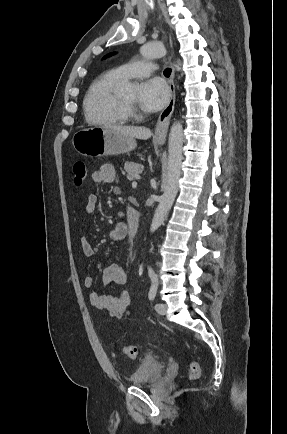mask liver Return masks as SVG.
I'll list each match as a JSON object with an SVG mask.
<instances>
[{"mask_svg":"<svg viewBox=\"0 0 287 434\" xmlns=\"http://www.w3.org/2000/svg\"><path fill=\"white\" fill-rule=\"evenodd\" d=\"M107 127L118 133L136 139L147 140L152 136V132L150 131V129L146 127L122 126V125H109Z\"/></svg>","mask_w":287,"mask_h":434,"instance_id":"6515ba94","label":"liver"}]
</instances>
